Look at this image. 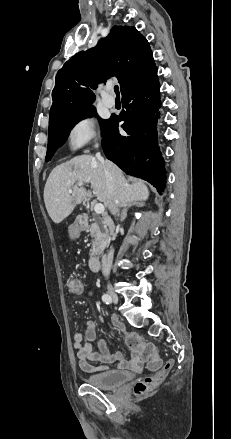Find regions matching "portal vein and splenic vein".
<instances>
[{
    "label": "portal vein and splenic vein",
    "instance_id": "obj_1",
    "mask_svg": "<svg viewBox=\"0 0 231 439\" xmlns=\"http://www.w3.org/2000/svg\"><path fill=\"white\" fill-rule=\"evenodd\" d=\"M79 186H82V184H79ZM69 193H72V190H68ZM94 211L96 214H103L105 212V207L101 203H96L94 205Z\"/></svg>",
    "mask_w": 231,
    "mask_h": 439
}]
</instances>
